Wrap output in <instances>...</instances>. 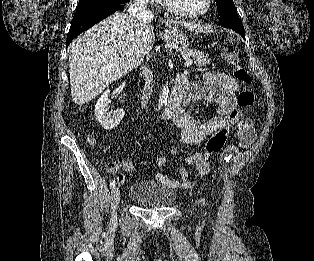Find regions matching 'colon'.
Returning <instances> with one entry per match:
<instances>
[{
  "label": "colon",
  "instance_id": "obj_1",
  "mask_svg": "<svg viewBox=\"0 0 314 261\" xmlns=\"http://www.w3.org/2000/svg\"><path fill=\"white\" fill-rule=\"evenodd\" d=\"M222 54L226 62L234 68L235 78L244 86L243 90L237 96L239 109H246L254 104L255 95L251 89L252 77L250 73L241 65L239 59V44L235 39L228 38L224 41ZM239 109L231 113V118L239 117ZM232 124H227L214 132L207 140L204 150L200 156V161L206 163L210 157L217 154L223 148Z\"/></svg>",
  "mask_w": 314,
  "mask_h": 261
}]
</instances>
